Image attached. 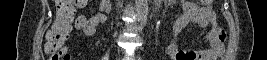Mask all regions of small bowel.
I'll return each mask as SVG.
<instances>
[{"label": "small bowel", "instance_id": "1", "mask_svg": "<svg viewBox=\"0 0 267 60\" xmlns=\"http://www.w3.org/2000/svg\"><path fill=\"white\" fill-rule=\"evenodd\" d=\"M105 1L100 2L102 10H106ZM83 6L84 4H76ZM183 14L175 21L171 28V39L167 45V56L170 60H216L224 51V42L226 33L218 23L216 14L212 10L210 3L204 6L185 1ZM95 8L91 7L88 14H81L76 21V27L86 36H92L96 32L98 25L104 23L105 15L103 13H95ZM84 24V25H83ZM189 24H196L201 27L209 26L210 30L203 37L208 42L209 48L199 51H180L177 47L176 36Z\"/></svg>", "mask_w": 267, "mask_h": 60}]
</instances>
